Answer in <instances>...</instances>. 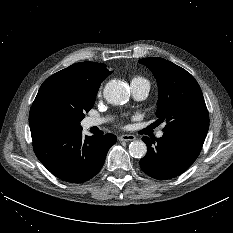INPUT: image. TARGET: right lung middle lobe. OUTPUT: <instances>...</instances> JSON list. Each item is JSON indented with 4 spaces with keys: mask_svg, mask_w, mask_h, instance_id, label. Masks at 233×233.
<instances>
[{
    "mask_svg": "<svg viewBox=\"0 0 233 233\" xmlns=\"http://www.w3.org/2000/svg\"><path fill=\"white\" fill-rule=\"evenodd\" d=\"M97 91L84 85L58 80L45 93L44 111L54 128H82L80 121L95 103Z\"/></svg>",
    "mask_w": 233,
    "mask_h": 233,
    "instance_id": "1",
    "label": "right lung middle lobe"
}]
</instances>
